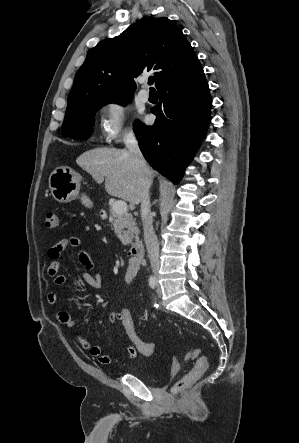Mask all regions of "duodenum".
I'll list each match as a JSON object with an SVG mask.
<instances>
[{
  "instance_id": "410a0bca",
  "label": "duodenum",
  "mask_w": 299,
  "mask_h": 443,
  "mask_svg": "<svg viewBox=\"0 0 299 443\" xmlns=\"http://www.w3.org/2000/svg\"><path fill=\"white\" fill-rule=\"evenodd\" d=\"M131 263H140L144 256V245L142 241H135L129 247Z\"/></svg>"
}]
</instances>
